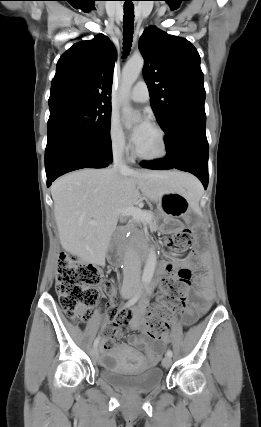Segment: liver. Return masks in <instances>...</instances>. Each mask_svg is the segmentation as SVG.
Returning <instances> with one entry per match:
<instances>
[{"label":"liver","instance_id":"obj_1","mask_svg":"<svg viewBox=\"0 0 261 427\" xmlns=\"http://www.w3.org/2000/svg\"><path fill=\"white\" fill-rule=\"evenodd\" d=\"M195 181L178 171L85 168L66 174L51 186L61 246L87 262L103 264L119 209L134 207L140 191L152 201L173 191L184 192L191 201L188 189Z\"/></svg>","mask_w":261,"mask_h":427}]
</instances>
